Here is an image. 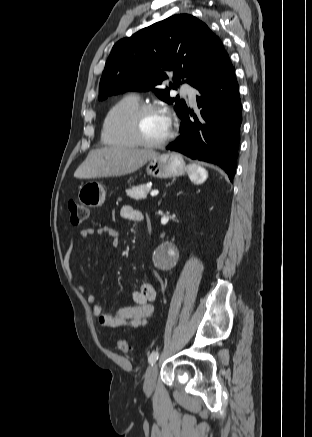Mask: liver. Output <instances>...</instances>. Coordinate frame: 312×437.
<instances>
[{"label":"liver","instance_id":"liver-1","mask_svg":"<svg viewBox=\"0 0 312 437\" xmlns=\"http://www.w3.org/2000/svg\"><path fill=\"white\" fill-rule=\"evenodd\" d=\"M157 153L153 150L121 146L103 147L89 152L74 173L76 178L124 176L141 168Z\"/></svg>","mask_w":312,"mask_h":437}]
</instances>
